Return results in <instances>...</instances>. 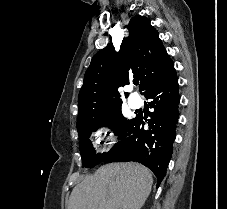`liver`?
<instances>
[{
	"label": "liver",
	"mask_w": 227,
	"mask_h": 209,
	"mask_svg": "<svg viewBox=\"0 0 227 209\" xmlns=\"http://www.w3.org/2000/svg\"><path fill=\"white\" fill-rule=\"evenodd\" d=\"M152 185L143 165L110 163L74 187L68 209H141Z\"/></svg>",
	"instance_id": "1"
}]
</instances>
